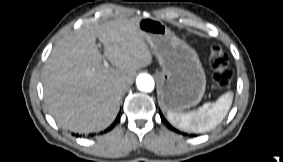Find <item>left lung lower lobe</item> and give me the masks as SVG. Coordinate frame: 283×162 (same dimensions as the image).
Wrapping results in <instances>:
<instances>
[{"instance_id":"1","label":"left lung lower lobe","mask_w":283,"mask_h":162,"mask_svg":"<svg viewBox=\"0 0 283 162\" xmlns=\"http://www.w3.org/2000/svg\"><path fill=\"white\" fill-rule=\"evenodd\" d=\"M160 116H161V118H162V120L164 121V123L169 127V128H171V126L168 124V122L165 120V118L163 117V115L161 114V112H160Z\"/></svg>"}]
</instances>
